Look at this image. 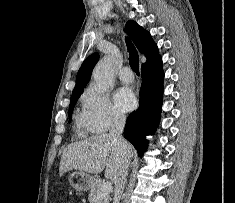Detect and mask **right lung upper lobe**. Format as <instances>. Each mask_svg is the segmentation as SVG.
<instances>
[{"label":"right lung upper lobe","mask_w":235,"mask_h":203,"mask_svg":"<svg viewBox=\"0 0 235 203\" xmlns=\"http://www.w3.org/2000/svg\"><path fill=\"white\" fill-rule=\"evenodd\" d=\"M125 31L130 36L137 49L141 53L145 54L147 61L144 64L152 61L159 56L157 45L153 41L149 32H147L143 27L139 26L135 21H128L126 23ZM98 59L99 55L95 53L84 60L78 71L76 77V85L72 94L80 93L83 91V88L90 80L92 70Z\"/></svg>","instance_id":"right-lung-upper-lobe-1"}]
</instances>
